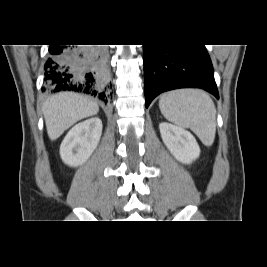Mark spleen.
<instances>
[{
	"instance_id": "spleen-1",
	"label": "spleen",
	"mask_w": 267,
	"mask_h": 267,
	"mask_svg": "<svg viewBox=\"0 0 267 267\" xmlns=\"http://www.w3.org/2000/svg\"><path fill=\"white\" fill-rule=\"evenodd\" d=\"M164 117L181 128H190L206 146L216 133V109L210 96L199 89L164 93L159 100Z\"/></svg>"
}]
</instances>
